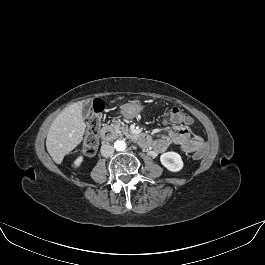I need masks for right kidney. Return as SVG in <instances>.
Returning <instances> with one entry per match:
<instances>
[{
	"label": "right kidney",
	"instance_id": "right-kidney-1",
	"mask_svg": "<svg viewBox=\"0 0 265 265\" xmlns=\"http://www.w3.org/2000/svg\"><path fill=\"white\" fill-rule=\"evenodd\" d=\"M82 161H83V157L80 156V157H78V158L74 161V163H73L72 166H73L74 168H78V167L81 165Z\"/></svg>",
	"mask_w": 265,
	"mask_h": 265
}]
</instances>
